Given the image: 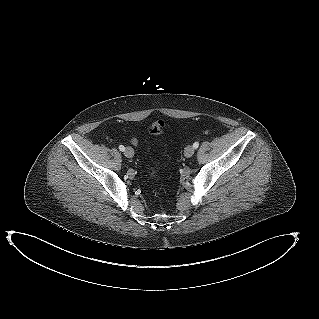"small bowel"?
Returning a JSON list of instances; mask_svg holds the SVG:
<instances>
[{
  "label": "small bowel",
  "instance_id": "obj_1",
  "mask_svg": "<svg viewBox=\"0 0 319 319\" xmlns=\"http://www.w3.org/2000/svg\"><path fill=\"white\" fill-rule=\"evenodd\" d=\"M132 142H133V144H137V141L135 139Z\"/></svg>",
  "mask_w": 319,
  "mask_h": 319
}]
</instances>
